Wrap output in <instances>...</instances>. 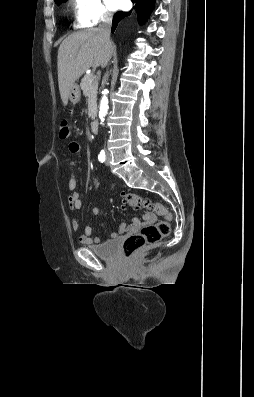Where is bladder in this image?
Instances as JSON below:
<instances>
[{
	"instance_id": "bladder-1",
	"label": "bladder",
	"mask_w": 254,
	"mask_h": 397,
	"mask_svg": "<svg viewBox=\"0 0 254 397\" xmlns=\"http://www.w3.org/2000/svg\"><path fill=\"white\" fill-rule=\"evenodd\" d=\"M87 248L101 259L114 260L119 254V241L115 239L100 245H90Z\"/></svg>"
}]
</instances>
